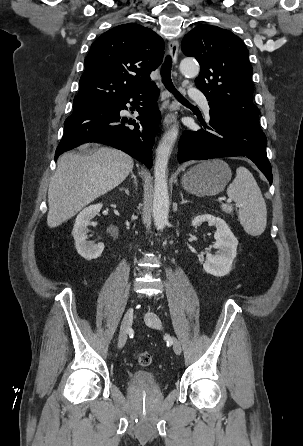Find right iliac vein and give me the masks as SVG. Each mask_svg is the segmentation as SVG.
<instances>
[{"instance_id":"1","label":"right iliac vein","mask_w":303,"mask_h":446,"mask_svg":"<svg viewBox=\"0 0 303 446\" xmlns=\"http://www.w3.org/2000/svg\"><path fill=\"white\" fill-rule=\"evenodd\" d=\"M133 322V309L129 308L126 313L124 314V317L121 322L120 326V333H119V339H118V347L121 349L124 347L127 341L128 331L132 325Z\"/></svg>"}]
</instances>
